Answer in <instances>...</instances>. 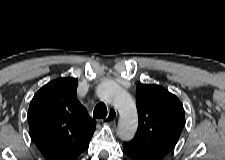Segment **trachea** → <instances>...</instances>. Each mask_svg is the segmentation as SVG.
Listing matches in <instances>:
<instances>
[{"mask_svg": "<svg viewBox=\"0 0 225 160\" xmlns=\"http://www.w3.org/2000/svg\"><path fill=\"white\" fill-rule=\"evenodd\" d=\"M93 116L94 118H105L107 116V107L103 102L95 106Z\"/></svg>", "mask_w": 225, "mask_h": 160, "instance_id": "3493384b", "label": "trachea"}]
</instances>
